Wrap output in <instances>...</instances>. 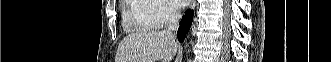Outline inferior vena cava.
Returning a JSON list of instances; mask_svg holds the SVG:
<instances>
[{
    "label": "inferior vena cava",
    "mask_w": 331,
    "mask_h": 62,
    "mask_svg": "<svg viewBox=\"0 0 331 62\" xmlns=\"http://www.w3.org/2000/svg\"><path fill=\"white\" fill-rule=\"evenodd\" d=\"M181 18L180 13L177 11L176 8H170L169 9V22L168 27L165 31L168 35L171 37H174V33L177 31L179 27V20Z\"/></svg>",
    "instance_id": "inferior-vena-cava-1"
}]
</instances>
